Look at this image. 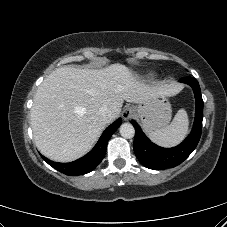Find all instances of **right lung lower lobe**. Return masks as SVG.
Masks as SVG:
<instances>
[{
	"instance_id": "right-lung-lower-lobe-1",
	"label": "right lung lower lobe",
	"mask_w": 227,
	"mask_h": 227,
	"mask_svg": "<svg viewBox=\"0 0 227 227\" xmlns=\"http://www.w3.org/2000/svg\"><path fill=\"white\" fill-rule=\"evenodd\" d=\"M121 125V118L117 119L114 123H112L101 135L99 141L95 145V147L84 157L70 162V163H57L53 162L46 157H41L53 168L70 176H77L86 174L93 169H95L99 163L102 161L105 152L107 143L112 136V134L117 130V128Z\"/></svg>"
}]
</instances>
